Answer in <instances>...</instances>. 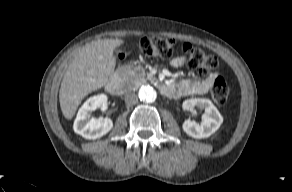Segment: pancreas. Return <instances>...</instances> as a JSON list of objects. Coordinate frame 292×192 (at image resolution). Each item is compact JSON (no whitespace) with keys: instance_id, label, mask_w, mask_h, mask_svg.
Returning <instances> with one entry per match:
<instances>
[{"instance_id":"obj_1","label":"pancreas","mask_w":292,"mask_h":192,"mask_svg":"<svg viewBox=\"0 0 292 192\" xmlns=\"http://www.w3.org/2000/svg\"><path fill=\"white\" fill-rule=\"evenodd\" d=\"M130 80L132 81L133 84L140 85L145 83L147 80H153V77L149 74L146 76L144 70L141 69L140 71L136 70L135 75L130 76Z\"/></svg>"}]
</instances>
